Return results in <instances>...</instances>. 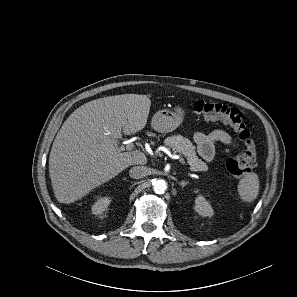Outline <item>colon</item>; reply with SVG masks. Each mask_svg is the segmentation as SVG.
Instances as JSON below:
<instances>
[{
	"instance_id": "1",
	"label": "colon",
	"mask_w": 297,
	"mask_h": 297,
	"mask_svg": "<svg viewBox=\"0 0 297 297\" xmlns=\"http://www.w3.org/2000/svg\"><path fill=\"white\" fill-rule=\"evenodd\" d=\"M193 110L207 120H220L233 128L244 144L245 152L237 157L229 158L226 161L227 170L237 178H242L251 172L256 164L257 150L244 114L238 108L205 100L195 101Z\"/></svg>"
}]
</instances>
